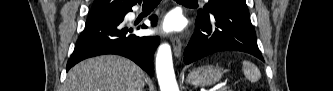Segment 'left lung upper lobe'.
I'll return each instance as SVG.
<instances>
[{
	"instance_id": "left-lung-upper-lobe-1",
	"label": "left lung upper lobe",
	"mask_w": 333,
	"mask_h": 91,
	"mask_svg": "<svg viewBox=\"0 0 333 91\" xmlns=\"http://www.w3.org/2000/svg\"><path fill=\"white\" fill-rule=\"evenodd\" d=\"M228 2H245V0H209V2L204 6V9L198 11V14L208 13L214 5Z\"/></svg>"
}]
</instances>
